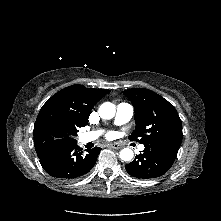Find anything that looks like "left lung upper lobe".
<instances>
[{
	"label": "left lung upper lobe",
	"instance_id": "left-lung-upper-lobe-1",
	"mask_svg": "<svg viewBox=\"0 0 221 221\" xmlns=\"http://www.w3.org/2000/svg\"><path fill=\"white\" fill-rule=\"evenodd\" d=\"M135 109L136 129L129 136L144 145L180 147L182 123L174 106L157 93L135 88L123 91Z\"/></svg>",
	"mask_w": 221,
	"mask_h": 221
}]
</instances>
